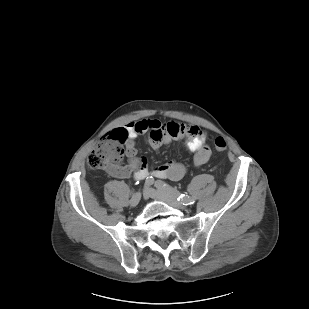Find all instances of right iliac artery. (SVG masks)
<instances>
[{
	"label": "right iliac artery",
	"instance_id": "1",
	"mask_svg": "<svg viewBox=\"0 0 309 309\" xmlns=\"http://www.w3.org/2000/svg\"><path fill=\"white\" fill-rule=\"evenodd\" d=\"M153 183H154V179H153L152 176L146 178L145 184H146L147 186H151Z\"/></svg>",
	"mask_w": 309,
	"mask_h": 309
}]
</instances>
